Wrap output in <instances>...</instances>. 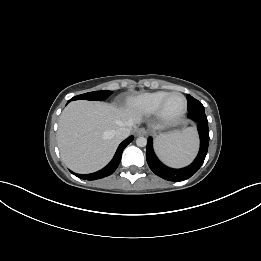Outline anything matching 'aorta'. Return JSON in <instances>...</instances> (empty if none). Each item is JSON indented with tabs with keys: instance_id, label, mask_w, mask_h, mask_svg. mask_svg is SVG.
Returning a JSON list of instances; mask_svg holds the SVG:
<instances>
[{
	"instance_id": "1",
	"label": "aorta",
	"mask_w": 261,
	"mask_h": 261,
	"mask_svg": "<svg viewBox=\"0 0 261 261\" xmlns=\"http://www.w3.org/2000/svg\"><path fill=\"white\" fill-rule=\"evenodd\" d=\"M136 144L139 147H145L147 145V139L145 137H139L136 140Z\"/></svg>"
}]
</instances>
